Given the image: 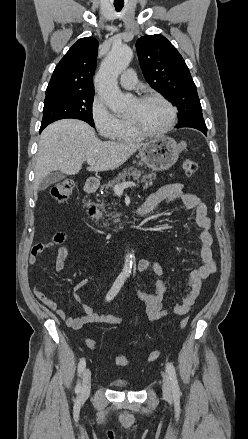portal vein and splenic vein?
Segmentation results:
<instances>
[{
	"instance_id": "18ae733b",
	"label": "portal vein and splenic vein",
	"mask_w": 248,
	"mask_h": 439,
	"mask_svg": "<svg viewBox=\"0 0 248 439\" xmlns=\"http://www.w3.org/2000/svg\"><path fill=\"white\" fill-rule=\"evenodd\" d=\"M87 163H88V165H94L96 163V161L95 160H88ZM133 186H136V184L134 182H124V183L115 185L113 189H114V192L116 194H122L124 189L129 188V187H133Z\"/></svg>"
}]
</instances>
